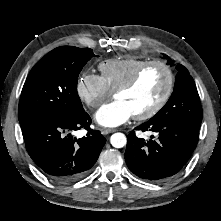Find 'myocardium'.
Here are the masks:
<instances>
[{"label": "myocardium", "mask_w": 221, "mask_h": 221, "mask_svg": "<svg viewBox=\"0 0 221 221\" xmlns=\"http://www.w3.org/2000/svg\"><path fill=\"white\" fill-rule=\"evenodd\" d=\"M152 66H159L164 70V72L166 74V78H167L166 86H165V89H164L162 95L159 97V99L156 101V103L150 109H148L147 111H145L143 113L133 115L134 119L139 120V121L148 120V119L154 117L162 110V108L168 102V100L173 92L174 83H175L174 73H173L172 69L170 68V66L161 60L146 61L141 66H139L135 70V72L125 82H123L121 85H119L113 91L114 96H116L118 93L129 90L139 81L142 74L148 68H150Z\"/></svg>", "instance_id": "myocardium-1"}]
</instances>
